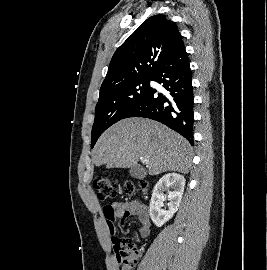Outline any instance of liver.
<instances>
[{
    "label": "liver",
    "instance_id": "liver-1",
    "mask_svg": "<svg viewBox=\"0 0 267 270\" xmlns=\"http://www.w3.org/2000/svg\"><path fill=\"white\" fill-rule=\"evenodd\" d=\"M192 147L166 126L146 118L123 119L108 128L93 149V162L106 168H130L142 157L148 173H188Z\"/></svg>",
    "mask_w": 267,
    "mask_h": 270
}]
</instances>
